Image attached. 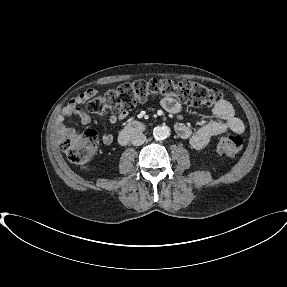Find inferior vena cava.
Segmentation results:
<instances>
[{"instance_id": "obj_1", "label": "inferior vena cava", "mask_w": 287, "mask_h": 287, "mask_svg": "<svg viewBox=\"0 0 287 287\" xmlns=\"http://www.w3.org/2000/svg\"><path fill=\"white\" fill-rule=\"evenodd\" d=\"M146 141V136L142 133L135 134L132 139L131 143L134 146H140Z\"/></svg>"}]
</instances>
